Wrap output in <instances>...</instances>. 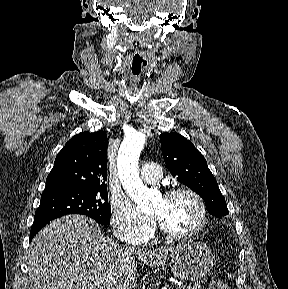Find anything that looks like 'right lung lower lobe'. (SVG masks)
Instances as JSON below:
<instances>
[{
	"instance_id": "obj_1",
	"label": "right lung lower lobe",
	"mask_w": 288,
	"mask_h": 289,
	"mask_svg": "<svg viewBox=\"0 0 288 289\" xmlns=\"http://www.w3.org/2000/svg\"><path fill=\"white\" fill-rule=\"evenodd\" d=\"M49 221H41V222H35L31 228L30 232V241L33 239V237L39 232V230L44 227Z\"/></svg>"
}]
</instances>
